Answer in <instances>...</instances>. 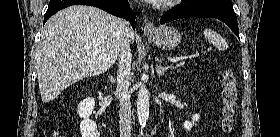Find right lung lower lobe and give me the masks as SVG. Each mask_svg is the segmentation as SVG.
I'll list each match as a JSON object with an SVG mask.
<instances>
[{"label": "right lung lower lobe", "instance_id": "1", "mask_svg": "<svg viewBox=\"0 0 280 137\" xmlns=\"http://www.w3.org/2000/svg\"><path fill=\"white\" fill-rule=\"evenodd\" d=\"M75 4L95 6L117 17L126 18L134 29L136 15L129 9L128 0H50L44 23L57 11Z\"/></svg>", "mask_w": 280, "mask_h": 137}]
</instances>
